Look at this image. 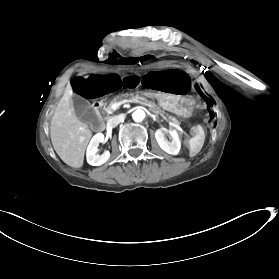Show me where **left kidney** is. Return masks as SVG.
Segmentation results:
<instances>
[{"label": "left kidney", "mask_w": 279, "mask_h": 279, "mask_svg": "<svg viewBox=\"0 0 279 279\" xmlns=\"http://www.w3.org/2000/svg\"><path fill=\"white\" fill-rule=\"evenodd\" d=\"M172 137V141H168L166 135ZM155 138L162 150L168 154L177 155L181 148V141L176 130L158 129L155 132Z\"/></svg>", "instance_id": "obj_1"}]
</instances>
